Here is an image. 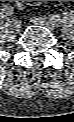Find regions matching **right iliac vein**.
Here are the masks:
<instances>
[{"instance_id":"1","label":"right iliac vein","mask_w":74,"mask_h":122,"mask_svg":"<svg viewBox=\"0 0 74 122\" xmlns=\"http://www.w3.org/2000/svg\"><path fill=\"white\" fill-rule=\"evenodd\" d=\"M12 24L16 31H20V29L22 27L21 21H19L18 19H15Z\"/></svg>"}]
</instances>
